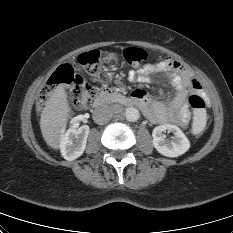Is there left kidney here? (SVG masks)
<instances>
[{
    "label": "left kidney",
    "instance_id": "5707ae66",
    "mask_svg": "<svg viewBox=\"0 0 233 233\" xmlns=\"http://www.w3.org/2000/svg\"><path fill=\"white\" fill-rule=\"evenodd\" d=\"M170 131L173 133L171 140L163 136V132ZM153 146L162 155L167 157H177L190 148V142L185 134L175 125L164 124L153 129Z\"/></svg>",
    "mask_w": 233,
    "mask_h": 233
}]
</instances>
